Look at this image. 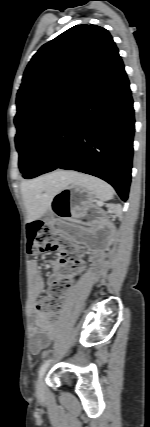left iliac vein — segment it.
Returning a JSON list of instances; mask_svg holds the SVG:
<instances>
[{
	"label": "left iliac vein",
	"instance_id": "1",
	"mask_svg": "<svg viewBox=\"0 0 150 427\" xmlns=\"http://www.w3.org/2000/svg\"><path fill=\"white\" fill-rule=\"evenodd\" d=\"M37 395L40 397L44 395L43 376L39 377L37 381Z\"/></svg>",
	"mask_w": 150,
	"mask_h": 427
}]
</instances>
